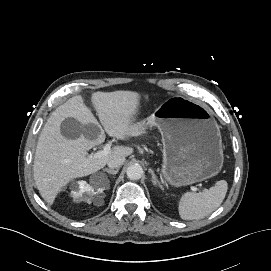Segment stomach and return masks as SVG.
I'll return each instance as SVG.
<instances>
[{
  "label": "stomach",
  "instance_id": "stomach-1",
  "mask_svg": "<svg viewBox=\"0 0 271 271\" xmlns=\"http://www.w3.org/2000/svg\"><path fill=\"white\" fill-rule=\"evenodd\" d=\"M152 126H157L162 136L161 171L168 184L186 186L219 173L223 165L221 133L205 106L181 97L168 99L135 124V136Z\"/></svg>",
  "mask_w": 271,
  "mask_h": 271
}]
</instances>
